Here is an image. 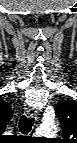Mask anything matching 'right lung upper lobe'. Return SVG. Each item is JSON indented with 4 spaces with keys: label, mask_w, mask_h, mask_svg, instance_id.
Instances as JSON below:
<instances>
[{
    "label": "right lung upper lobe",
    "mask_w": 77,
    "mask_h": 143,
    "mask_svg": "<svg viewBox=\"0 0 77 143\" xmlns=\"http://www.w3.org/2000/svg\"><path fill=\"white\" fill-rule=\"evenodd\" d=\"M11 106L5 102L3 99H0V128L5 130L6 125L12 117Z\"/></svg>",
    "instance_id": "1"
}]
</instances>
